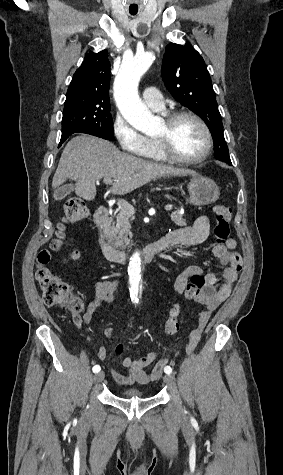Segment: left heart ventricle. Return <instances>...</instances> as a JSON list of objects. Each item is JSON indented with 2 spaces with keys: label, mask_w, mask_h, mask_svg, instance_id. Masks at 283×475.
Listing matches in <instances>:
<instances>
[{
  "label": "left heart ventricle",
  "mask_w": 283,
  "mask_h": 475,
  "mask_svg": "<svg viewBox=\"0 0 283 475\" xmlns=\"http://www.w3.org/2000/svg\"><path fill=\"white\" fill-rule=\"evenodd\" d=\"M166 136V123L155 136ZM170 143L166 152L175 157L190 158L199 155L205 148V133L202 127L192 118L184 117L178 120L169 135Z\"/></svg>",
  "instance_id": "obj_1"
}]
</instances>
